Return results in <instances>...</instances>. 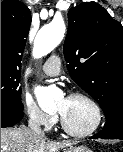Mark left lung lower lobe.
Returning a JSON list of instances; mask_svg holds the SVG:
<instances>
[{
	"mask_svg": "<svg viewBox=\"0 0 123 152\" xmlns=\"http://www.w3.org/2000/svg\"><path fill=\"white\" fill-rule=\"evenodd\" d=\"M107 121L104 128L91 139H121L123 140V108L113 110V112L106 117Z\"/></svg>",
	"mask_w": 123,
	"mask_h": 152,
	"instance_id": "0a47b994",
	"label": "left lung lower lobe"
}]
</instances>
